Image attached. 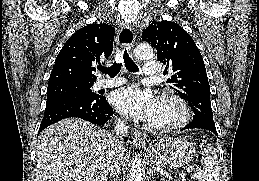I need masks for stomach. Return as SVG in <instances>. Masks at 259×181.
I'll return each mask as SVG.
<instances>
[{
    "mask_svg": "<svg viewBox=\"0 0 259 181\" xmlns=\"http://www.w3.org/2000/svg\"><path fill=\"white\" fill-rule=\"evenodd\" d=\"M195 154V147L187 140L165 137L148 151L149 162L159 168H177L187 164Z\"/></svg>",
    "mask_w": 259,
    "mask_h": 181,
    "instance_id": "1",
    "label": "stomach"
}]
</instances>
